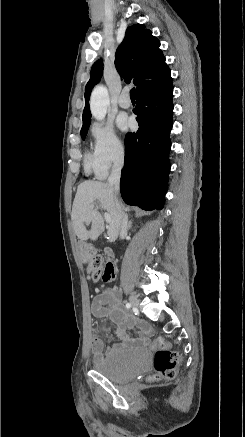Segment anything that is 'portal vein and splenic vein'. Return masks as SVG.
<instances>
[{
  "label": "portal vein and splenic vein",
  "mask_w": 245,
  "mask_h": 437,
  "mask_svg": "<svg viewBox=\"0 0 245 437\" xmlns=\"http://www.w3.org/2000/svg\"><path fill=\"white\" fill-rule=\"evenodd\" d=\"M104 218H105L106 222H108V223L111 221L110 215L107 213L104 214Z\"/></svg>",
  "instance_id": "obj_1"
}]
</instances>
